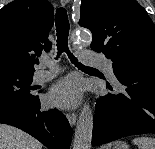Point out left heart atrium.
Listing matches in <instances>:
<instances>
[{
  "label": "left heart atrium",
  "mask_w": 155,
  "mask_h": 149,
  "mask_svg": "<svg viewBox=\"0 0 155 149\" xmlns=\"http://www.w3.org/2000/svg\"><path fill=\"white\" fill-rule=\"evenodd\" d=\"M82 95V84L73 76L60 80L50 91L48 100L59 107H73Z\"/></svg>",
  "instance_id": "1"
}]
</instances>
